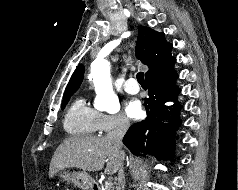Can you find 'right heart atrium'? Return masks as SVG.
I'll return each mask as SVG.
<instances>
[{
	"mask_svg": "<svg viewBox=\"0 0 238 190\" xmlns=\"http://www.w3.org/2000/svg\"><path fill=\"white\" fill-rule=\"evenodd\" d=\"M98 131L110 133L113 131H124L129 128L130 120L123 113L97 112Z\"/></svg>",
	"mask_w": 238,
	"mask_h": 190,
	"instance_id": "right-heart-atrium-1",
	"label": "right heart atrium"
}]
</instances>
